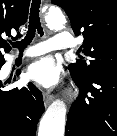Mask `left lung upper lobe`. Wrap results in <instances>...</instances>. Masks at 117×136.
I'll return each mask as SVG.
<instances>
[{
  "mask_svg": "<svg viewBox=\"0 0 117 136\" xmlns=\"http://www.w3.org/2000/svg\"><path fill=\"white\" fill-rule=\"evenodd\" d=\"M67 13L75 35L82 34L83 57L69 65L71 76L88 81L95 73L117 69V2L116 0H51Z\"/></svg>",
  "mask_w": 117,
  "mask_h": 136,
  "instance_id": "5c2ea615",
  "label": "left lung upper lobe"
}]
</instances>
